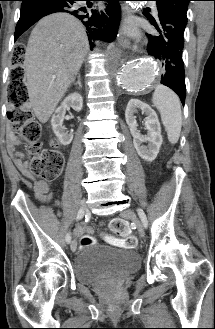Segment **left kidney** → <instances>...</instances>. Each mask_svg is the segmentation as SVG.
<instances>
[{
	"mask_svg": "<svg viewBox=\"0 0 215 329\" xmlns=\"http://www.w3.org/2000/svg\"><path fill=\"white\" fill-rule=\"evenodd\" d=\"M138 109L147 116L145 119L147 135L145 136L141 135L137 129V121L134 113ZM125 119L133 136V144L138 155L146 161H153L157 157L163 142L161 127L156 112L148 104L138 99H131L126 107ZM143 142H148V146H144Z\"/></svg>",
	"mask_w": 215,
	"mask_h": 329,
	"instance_id": "left-kidney-1",
	"label": "left kidney"
}]
</instances>
